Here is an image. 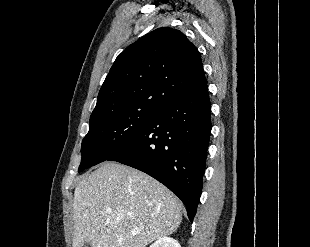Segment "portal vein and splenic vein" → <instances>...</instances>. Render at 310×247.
I'll return each mask as SVG.
<instances>
[{
  "mask_svg": "<svg viewBox=\"0 0 310 247\" xmlns=\"http://www.w3.org/2000/svg\"><path fill=\"white\" fill-rule=\"evenodd\" d=\"M107 213H111V210H107ZM131 233H132L133 235H136V234L139 233V231H138V230H132Z\"/></svg>",
  "mask_w": 310,
  "mask_h": 247,
  "instance_id": "portal-vein-and-splenic-vein-1",
  "label": "portal vein and splenic vein"
}]
</instances>
